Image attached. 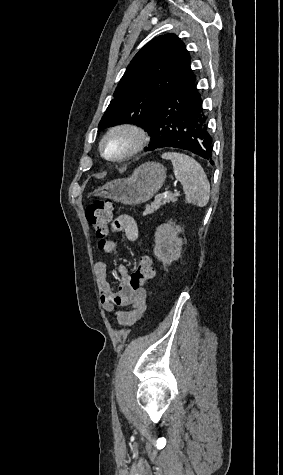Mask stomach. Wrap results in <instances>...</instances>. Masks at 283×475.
Wrapping results in <instances>:
<instances>
[{"instance_id": "0dacf381", "label": "stomach", "mask_w": 283, "mask_h": 475, "mask_svg": "<svg viewBox=\"0 0 283 475\" xmlns=\"http://www.w3.org/2000/svg\"><path fill=\"white\" fill-rule=\"evenodd\" d=\"M165 178L166 170L162 164L145 162L134 170L130 178L113 180L95 190L93 194L96 198H108L127 206H137L148 202L163 186Z\"/></svg>"}]
</instances>
